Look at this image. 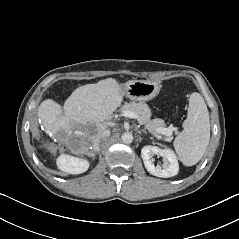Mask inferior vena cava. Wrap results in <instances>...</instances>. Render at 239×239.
<instances>
[{"instance_id":"602c4592","label":"inferior vena cava","mask_w":239,"mask_h":239,"mask_svg":"<svg viewBox=\"0 0 239 239\" xmlns=\"http://www.w3.org/2000/svg\"><path fill=\"white\" fill-rule=\"evenodd\" d=\"M109 135L110 132L108 130H105L101 134H99V136L95 140V146L99 148L103 144V142L108 138Z\"/></svg>"}]
</instances>
